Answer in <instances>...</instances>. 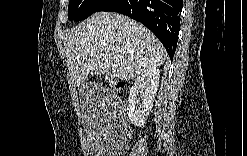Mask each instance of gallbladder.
<instances>
[{"instance_id": "1", "label": "gallbladder", "mask_w": 247, "mask_h": 156, "mask_svg": "<svg viewBox=\"0 0 247 156\" xmlns=\"http://www.w3.org/2000/svg\"><path fill=\"white\" fill-rule=\"evenodd\" d=\"M107 76H108V77H110L111 75H110V74H108Z\"/></svg>"}]
</instances>
